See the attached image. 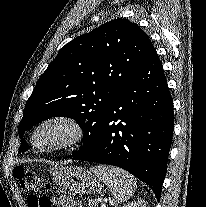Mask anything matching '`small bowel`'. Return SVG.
<instances>
[{
	"mask_svg": "<svg viewBox=\"0 0 206 207\" xmlns=\"http://www.w3.org/2000/svg\"><path fill=\"white\" fill-rule=\"evenodd\" d=\"M52 203L53 207H82L80 202L68 197H54Z\"/></svg>",
	"mask_w": 206,
	"mask_h": 207,
	"instance_id": "small-bowel-1",
	"label": "small bowel"
}]
</instances>
